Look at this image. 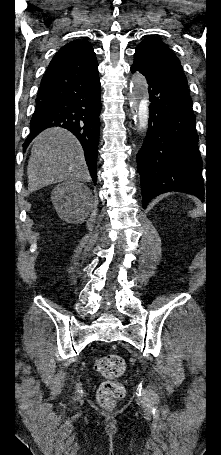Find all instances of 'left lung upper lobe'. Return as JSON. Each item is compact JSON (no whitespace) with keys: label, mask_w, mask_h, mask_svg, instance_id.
<instances>
[{"label":"left lung upper lobe","mask_w":221,"mask_h":455,"mask_svg":"<svg viewBox=\"0 0 221 455\" xmlns=\"http://www.w3.org/2000/svg\"><path fill=\"white\" fill-rule=\"evenodd\" d=\"M133 66L139 71L156 75L188 92L187 79L179 59L158 38L148 37L137 47Z\"/></svg>","instance_id":"obj_1"}]
</instances>
